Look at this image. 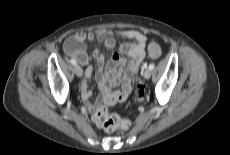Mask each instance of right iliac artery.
Wrapping results in <instances>:
<instances>
[{
  "mask_svg": "<svg viewBox=\"0 0 230 155\" xmlns=\"http://www.w3.org/2000/svg\"><path fill=\"white\" fill-rule=\"evenodd\" d=\"M70 62H71V64H73V65H76V64H77V62H76L74 59H71Z\"/></svg>",
  "mask_w": 230,
  "mask_h": 155,
  "instance_id": "right-iliac-artery-1",
  "label": "right iliac artery"
}]
</instances>
